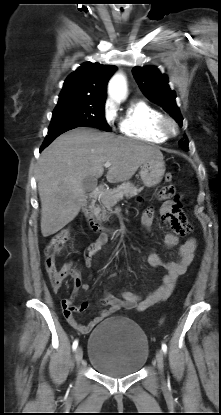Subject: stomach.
Here are the masks:
<instances>
[{"mask_svg": "<svg viewBox=\"0 0 221 415\" xmlns=\"http://www.w3.org/2000/svg\"><path fill=\"white\" fill-rule=\"evenodd\" d=\"M165 173V163L161 158H152L140 167V177L146 187L158 185Z\"/></svg>", "mask_w": 221, "mask_h": 415, "instance_id": "0dacf381", "label": "stomach"}]
</instances>
